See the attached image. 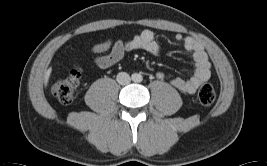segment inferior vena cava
<instances>
[{"mask_svg":"<svg viewBox=\"0 0 267 166\" xmlns=\"http://www.w3.org/2000/svg\"><path fill=\"white\" fill-rule=\"evenodd\" d=\"M116 79H117V82L119 84H121V85H127L131 81V78H130L129 74L126 73V72H120V73H118Z\"/></svg>","mask_w":267,"mask_h":166,"instance_id":"1","label":"inferior vena cava"}]
</instances>
